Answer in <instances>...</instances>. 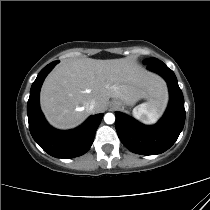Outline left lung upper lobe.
Masks as SVG:
<instances>
[{
    "label": "left lung upper lobe",
    "instance_id": "left-lung-upper-lobe-1",
    "mask_svg": "<svg viewBox=\"0 0 210 210\" xmlns=\"http://www.w3.org/2000/svg\"><path fill=\"white\" fill-rule=\"evenodd\" d=\"M156 60L157 59H155V58H148V59L144 60V64H148V63L154 62Z\"/></svg>",
    "mask_w": 210,
    "mask_h": 210
}]
</instances>
